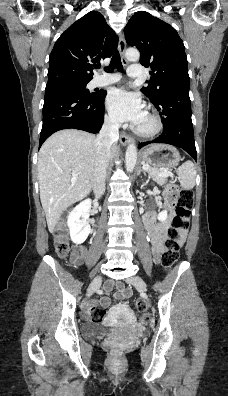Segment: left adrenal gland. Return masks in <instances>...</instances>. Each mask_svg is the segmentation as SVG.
<instances>
[{
  "instance_id": "left-adrenal-gland-1",
  "label": "left adrenal gland",
  "mask_w": 228,
  "mask_h": 396,
  "mask_svg": "<svg viewBox=\"0 0 228 396\" xmlns=\"http://www.w3.org/2000/svg\"><path fill=\"white\" fill-rule=\"evenodd\" d=\"M141 172H143L144 175H146V172L141 168V166H139L137 170V174H140Z\"/></svg>"
}]
</instances>
